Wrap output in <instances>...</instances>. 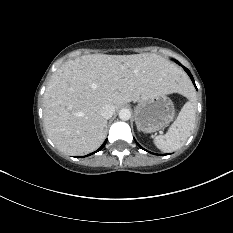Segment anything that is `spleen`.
I'll return each mask as SVG.
<instances>
[{
    "label": "spleen",
    "mask_w": 233,
    "mask_h": 233,
    "mask_svg": "<svg viewBox=\"0 0 233 233\" xmlns=\"http://www.w3.org/2000/svg\"><path fill=\"white\" fill-rule=\"evenodd\" d=\"M189 101L184 104L178 117L171 124L165 135L154 138V144L163 152H173L181 148L192 134L195 127V97L186 92Z\"/></svg>",
    "instance_id": "1"
}]
</instances>
